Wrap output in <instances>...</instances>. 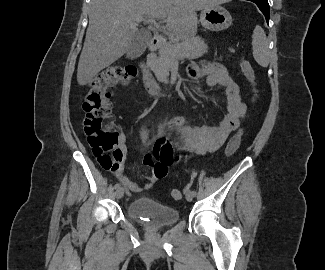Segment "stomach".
Returning a JSON list of instances; mask_svg holds the SVG:
<instances>
[{
	"label": "stomach",
	"instance_id": "1",
	"mask_svg": "<svg viewBox=\"0 0 325 270\" xmlns=\"http://www.w3.org/2000/svg\"><path fill=\"white\" fill-rule=\"evenodd\" d=\"M201 24L211 31L227 29L232 23L230 13L223 7H205L200 14Z\"/></svg>",
	"mask_w": 325,
	"mask_h": 270
}]
</instances>
